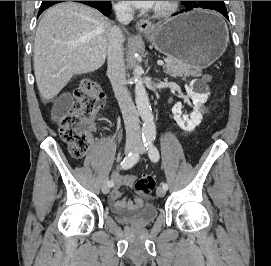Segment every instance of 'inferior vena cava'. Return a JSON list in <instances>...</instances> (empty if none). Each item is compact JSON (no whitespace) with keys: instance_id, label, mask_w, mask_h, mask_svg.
Returning <instances> with one entry per match:
<instances>
[{"instance_id":"inferior-vena-cava-1","label":"inferior vena cava","mask_w":271,"mask_h":266,"mask_svg":"<svg viewBox=\"0 0 271 266\" xmlns=\"http://www.w3.org/2000/svg\"><path fill=\"white\" fill-rule=\"evenodd\" d=\"M116 19L123 25L133 20V10L126 3L114 6ZM123 34L118 26H113L108 34V76L111 81L115 96L120 106L128 141H141L138 111L126 87V73L123 61Z\"/></svg>"}]
</instances>
